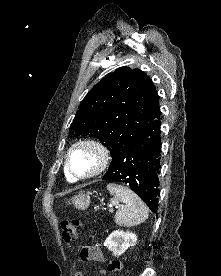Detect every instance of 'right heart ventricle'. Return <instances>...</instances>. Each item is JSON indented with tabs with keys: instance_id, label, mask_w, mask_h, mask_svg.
Listing matches in <instances>:
<instances>
[{
	"instance_id": "1",
	"label": "right heart ventricle",
	"mask_w": 221,
	"mask_h": 276,
	"mask_svg": "<svg viewBox=\"0 0 221 276\" xmlns=\"http://www.w3.org/2000/svg\"><path fill=\"white\" fill-rule=\"evenodd\" d=\"M66 176H67V178H69V179H70V176L67 174V172H66Z\"/></svg>"
}]
</instances>
